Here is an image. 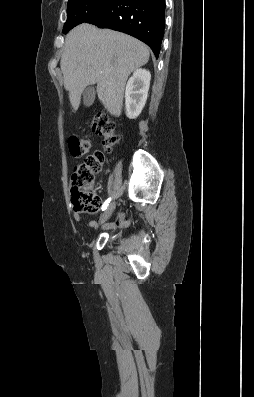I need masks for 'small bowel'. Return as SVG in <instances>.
I'll return each mask as SVG.
<instances>
[{
	"instance_id": "small-bowel-1",
	"label": "small bowel",
	"mask_w": 254,
	"mask_h": 397,
	"mask_svg": "<svg viewBox=\"0 0 254 397\" xmlns=\"http://www.w3.org/2000/svg\"><path fill=\"white\" fill-rule=\"evenodd\" d=\"M74 218H75L76 221H80L81 220V217H80L79 214H74ZM128 224H129V221H126L124 219L123 214L120 212V213H118L115 222L106 225L104 227V229H114L116 226H126ZM87 225L91 226V227H95V223L94 222H89Z\"/></svg>"
}]
</instances>
